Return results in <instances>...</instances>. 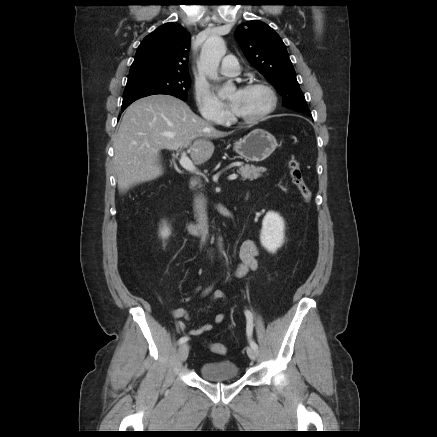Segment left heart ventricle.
<instances>
[{"label": "left heart ventricle", "instance_id": "left-heart-ventricle-1", "mask_svg": "<svg viewBox=\"0 0 437 437\" xmlns=\"http://www.w3.org/2000/svg\"><path fill=\"white\" fill-rule=\"evenodd\" d=\"M229 99H236L234 113L241 117L258 115L266 108L269 101L267 93L260 88H243L233 91Z\"/></svg>", "mask_w": 437, "mask_h": 437}]
</instances>
